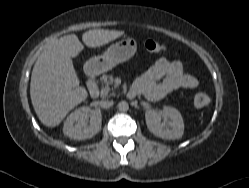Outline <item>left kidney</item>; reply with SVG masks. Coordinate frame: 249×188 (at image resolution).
<instances>
[{
	"mask_svg": "<svg viewBox=\"0 0 249 188\" xmlns=\"http://www.w3.org/2000/svg\"><path fill=\"white\" fill-rule=\"evenodd\" d=\"M165 119L169 128L164 129L161 119ZM147 127L155 136L163 139H179L184 133V123L180 112L173 108L165 106L162 110H147L145 112Z\"/></svg>",
	"mask_w": 249,
	"mask_h": 188,
	"instance_id": "5707ae66",
	"label": "left kidney"
}]
</instances>
